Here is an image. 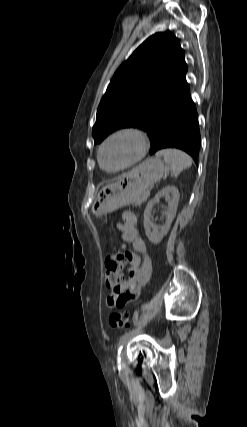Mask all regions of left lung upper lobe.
Segmentation results:
<instances>
[{
	"label": "left lung upper lobe",
	"instance_id": "5c2ea615",
	"mask_svg": "<svg viewBox=\"0 0 247 427\" xmlns=\"http://www.w3.org/2000/svg\"><path fill=\"white\" fill-rule=\"evenodd\" d=\"M184 54L170 31L146 39L111 79L97 110L94 142L120 128L147 131L156 114L189 87Z\"/></svg>",
	"mask_w": 247,
	"mask_h": 427
}]
</instances>
